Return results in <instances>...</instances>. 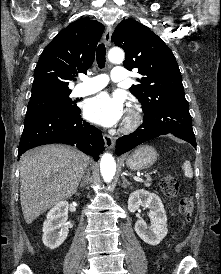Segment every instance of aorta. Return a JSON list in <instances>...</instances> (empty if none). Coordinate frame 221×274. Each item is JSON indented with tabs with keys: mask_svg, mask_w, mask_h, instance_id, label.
<instances>
[{
	"mask_svg": "<svg viewBox=\"0 0 221 274\" xmlns=\"http://www.w3.org/2000/svg\"><path fill=\"white\" fill-rule=\"evenodd\" d=\"M124 57V52L120 48H113L108 53V59L113 63H122ZM100 171L105 182H110L113 179L116 172V163L111 154L105 153L102 155L100 161Z\"/></svg>",
	"mask_w": 221,
	"mask_h": 274,
	"instance_id": "762f6f07",
	"label": "aorta"
}]
</instances>
